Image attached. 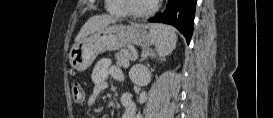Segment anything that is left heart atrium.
Listing matches in <instances>:
<instances>
[{
  "label": "left heart atrium",
  "instance_id": "1",
  "mask_svg": "<svg viewBox=\"0 0 273 118\" xmlns=\"http://www.w3.org/2000/svg\"><path fill=\"white\" fill-rule=\"evenodd\" d=\"M152 3H156L158 2L159 0H150Z\"/></svg>",
  "mask_w": 273,
  "mask_h": 118
}]
</instances>
